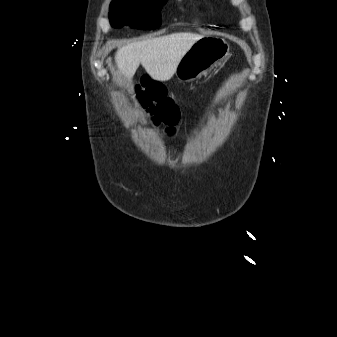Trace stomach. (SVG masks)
I'll return each instance as SVG.
<instances>
[{"label": "stomach", "mask_w": 337, "mask_h": 337, "mask_svg": "<svg viewBox=\"0 0 337 337\" xmlns=\"http://www.w3.org/2000/svg\"><path fill=\"white\" fill-rule=\"evenodd\" d=\"M230 46L221 38L206 37L195 42L179 61L175 75L183 82L198 79L229 55Z\"/></svg>", "instance_id": "0dacf381"}]
</instances>
